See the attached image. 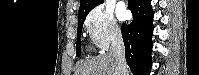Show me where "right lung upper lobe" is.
I'll return each instance as SVG.
<instances>
[{
	"instance_id": "obj_1",
	"label": "right lung upper lobe",
	"mask_w": 199,
	"mask_h": 75,
	"mask_svg": "<svg viewBox=\"0 0 199 75\" xmlns=\"http://www.w3.org/2000/svg\"><path fill=\"white\" fill-rule=\"evenodd\" d=\"M103 3V0H80L78 17L88 14L94 7Z\"/></svg>"
}]
</instances>
